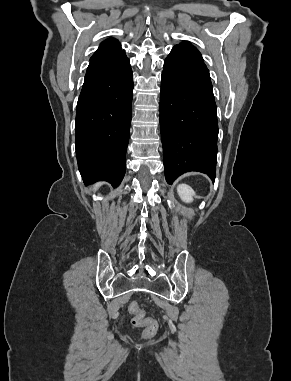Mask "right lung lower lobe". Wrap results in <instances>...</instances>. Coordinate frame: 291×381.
Listing matches in <instances>:
<instances>
[{"label": "right lung lower lobe", "instance_id": "right-lung-lower-lobe-1", "mask_svg": "<svg viewBox=\"0 0 291 381\" xmlns=\"http://www.w3.org/2000/svg\"><path fill=\"white\" fill-rule=\"evenodd\" d=\"M133 74L122 49L90 59L76 109V155L85 184L119 186L126 171L132 115Z\"/></svg>", "mask_w": 291, "mask_h": 381}]
</instances>
